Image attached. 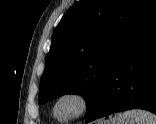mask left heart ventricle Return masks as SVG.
I'll return each mask as SVG.
<instances>
[{
  "label": "left heart ventricle",
  "instance_id": "obj_1",
  "mask_svg": "<svg viewBox=\"0 0 156 124\" xmlns=\"http://www.w3.org/2000/svg\"><path fill=\"white\" fill-rule=\"evenodd\" d=\"M81 108L80 101L76 97L63 98L56 107V112L59 116H72Z\"/></svg>",
  "mask_w": 156,
  "mask_h": 124
}]
</instances>
